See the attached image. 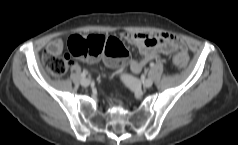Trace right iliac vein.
I'll return each mask as SVG.
<instances>
[{"instance_id": "63e3f726", "label": "right iliac vein", "mask_w": 238, "mask_h": 145, "mask_svg": "<svg viewBox=\"0 0 238 145\" xmlns=\"http://www.w3.org/2000/svg\"><path fill=\"white\" fill-rule=\"evenodd\" d=\"M89 84H90V80H89V79L83 78V79L81 80V85H82V86L87 87V86H89Z\"/></svg>"}]
</instances>
